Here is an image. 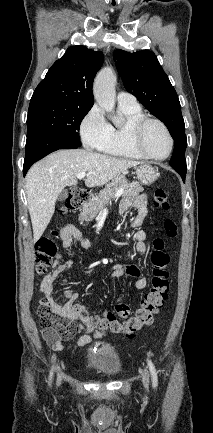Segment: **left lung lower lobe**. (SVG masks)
<instances>
[{
	"instance_id": "0a47b994",
	"label": "left lung lower lobe",
	"mask_w": 213,
	"mask_h": 433,
	"mask_svg": "<svg viewBox=\"0 0 213 433\" xmlns=\"http://www.w3.org/2000/svg\"><path fill=\"white\" fill-rule=\"evenodd\" d=\"M177 172L181 175L183 182H185L186 172L185 171H177Z\"/></svg>"
}]
</instances>
